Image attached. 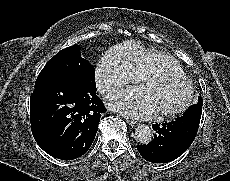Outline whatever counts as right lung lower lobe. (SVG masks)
<instances>
[{"mask_svg": "<svg viewBox=\"0 0 230 181\" xmlns=\"http://www.w3.org/2000/svg\"><path fill=\"white\" fill-rule=\"evenodd\" d=\"M104 111L96 86L74 79L36 82L30 97L34 139L55 158L76 159L90 148Z\"/></svg>", "mask_w": 230, "mask_h": 181, "instance_id": "obj_1", "label": "right lung lower lobe"}]
</instances>
